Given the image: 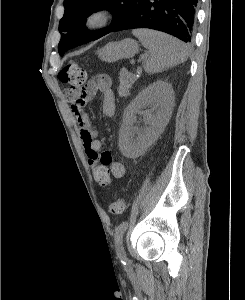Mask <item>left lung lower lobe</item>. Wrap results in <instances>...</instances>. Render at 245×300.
Listing matches in <instances>:
<instances>
[{
	"label": "left lung lower lobe",
	"mask_w": 245,
	"mask_h": 300,
	"mask_svg": "<svg viewBox=\"0 0 245 300\" xmlns=\"http://www.w3.org/2000/svg\"><path fill=\"white\" fill-rule=\"evenodd\" d=\"M197 1L135 0L127 16L108 33L135 28H149L166 32L186 43H191ZM100 37L102 36L94 37L91 41Z\"/></svg>",
	"instance_id": "1"
}]
</instances>
